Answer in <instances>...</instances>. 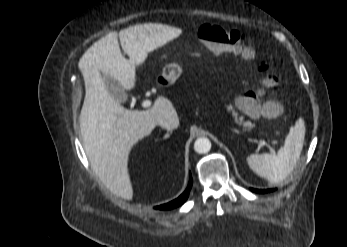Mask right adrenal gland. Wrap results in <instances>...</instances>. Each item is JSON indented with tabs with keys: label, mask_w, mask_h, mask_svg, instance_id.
<instances>
[{
	"label": "right adrenal gland",
	"mask_w": 347,
	"mask_h": 247,
	"mask_svg": "<svg viewBox=\"0 0 347 247\" xmlns=\"http://www.w3.org/2000/svg\"><path fill=\"white\" fill-rule=\"evenodd\" d=\"M171 131L170 132H167V134L163 137V139H167V138H169L170 137V135H171Z\"/></svg>",
	"instance_id": "obj_1"
}]
</instances>
